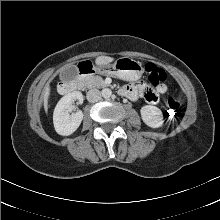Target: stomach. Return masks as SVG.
Wrapping results in <instances>:
<instances>
[{"label":"stomach","mask_w":220,"mask_h":220,"mask_svg":"<svg viewBox=\"0 0 220 220\" xmlns=\"http://www.w3.org/2000/svg\"><path fill=\"white\" fill-rule=\"evenodd\" d=\"M94 71L103 75L115 76L126 81H136L141 78L144 69L139 61L129 57H121L113 64L97 65L94 67Z\"/></svg>","instance_id":"obj_1"}]
</instances>
